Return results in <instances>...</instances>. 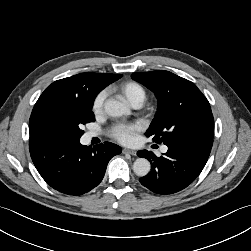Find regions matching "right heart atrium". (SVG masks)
I'll return each mask as SVG.
<instances>
[{"label":"right heart atrium","mask_w":251,"mask_h":251,"mask_svg":"<svg viewBox=\"0 0 251 251\" xmlns=\"http://www.w3.org/2000/svg\"><path fill=\"white\" fill-rule=\"evenodd\" d=\"M107 97V91L102 90L99 93L96 94L92 101V111L95 114H100L103 110L104 102Z\"/></svg>","instance_id":"obj_1"}]
</instances>
